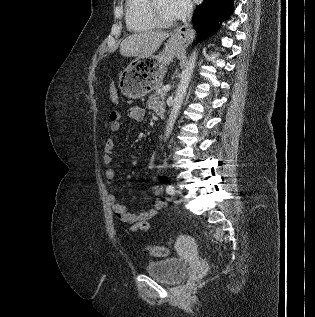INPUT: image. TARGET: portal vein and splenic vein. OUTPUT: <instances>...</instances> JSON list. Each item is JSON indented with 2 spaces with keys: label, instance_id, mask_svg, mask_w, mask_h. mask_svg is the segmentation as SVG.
<instances>
[{
  "label": "portal vein and splenic vein",
  "instance_id": "portal-vein-and-splenic-vein-1",
  "mask_svg": "<svg viewBox=\"0 0 315 317\" xmlns=\"http://www.w3.org/2000/svg\"><path fill=\"white\" fill-rule=\"evenodd\" d=\"M170 88H171V86L168 84V85L163 87V91L168 92L170 90Z\"/></svg>",
  "mask_w": 315,
  "mask_h": 317
}]
</instances>
